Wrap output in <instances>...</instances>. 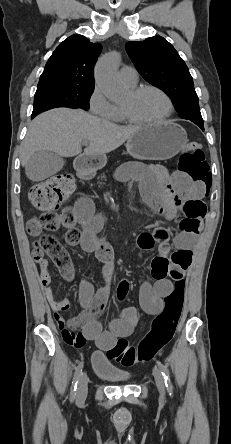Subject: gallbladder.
<instances>
[{"label":"gallbladder","mask_w":231,"mask_h":444,"mask_svg":"<svg viewBox=\"0 0 231 444\" xmlns=\"http://www.w3.org/2000/svg\"><path fill=\"white\" fill-rule=\"evenodd\" d=\"M63 159L52 151H37L26 164V175L31 181H42L63 168Z\"/></svg>","instance_id":"bac80fb5"}]
</instances>
